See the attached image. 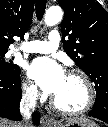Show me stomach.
I'll return each mask as SVG.
<instances>
[{"mask_svg": "<svg viewBox=\"0 0 108 127\" xmlns=\"http://www.w3.org/2000/svg\"><path fill=\"white\" fill-rule=\"evenodd\" d=\"M46 127H98L96 124H83L80 122H67L65 124H62L60 122H54L53 125H48Z\"/></svg>", "mask_w": 108, "mask_h": 127, "instance_id": "0dacf381", "label": "stomach"}]
</instances>
